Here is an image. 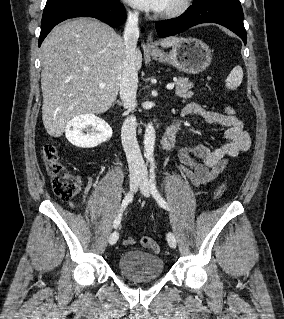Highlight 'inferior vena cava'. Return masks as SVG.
Returning a JSON list of instances; mask_svg holds the SVG:
<instances>
[{
    "label": "inferior vena cava",
    "mask_w": 284,
    "mask_h": 319,
    "mask_svg": "<svg viewBox=\"0 0 284 319\" xmlns=\"http://www.w3.org/2000/svg\"><path fill=\"white\" fill-rule=\"evenodd\" d=\"M139 33L138 13L130 12L128 14L123 36L126 57L123 63L119 88L120 98L126 109H131L136 106L138 73L134 61ZM136 126V118L131 115L124 121L121 129L122 144L130 171H139L144 167V161L136 138Z\"/></svg>",
    "instance_id": "602c4592"
}]
</instances>
